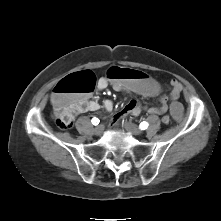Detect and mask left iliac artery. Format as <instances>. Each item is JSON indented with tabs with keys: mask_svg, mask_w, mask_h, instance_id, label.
<instances>
[{
	"mask_svg": "<svg viewBox=\"0 0 221 221\" xmlns=\"http://www.w3.org/2000/svg\"><path fill=\"white\" fill-rule=\"evenodd\" d=\"M147 128H148V123L147 122L144 121V122L140 123V129L145 130Z\"/></svg>",
	"mask_w": 221,
	"mask_h": 221,
	"instance_id": "44dca946",
	"label": "left iliac artery"
}]
</instances>
